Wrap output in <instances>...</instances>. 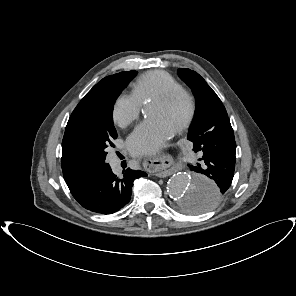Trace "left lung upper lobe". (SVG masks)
<instances>
[{
  "instance_id": "1",
  "label": "left lung upper lobe",
  "mask_w": 296,
  "mask_h": 296,
  "mask_svg": "<svg viewBox=\"0 0 296 296\" xmlns=\"http://www.w3.org/2000/svg\"><path fill=\"white\" fill-rule=\"evenodd\" d=\"M178 74L193 89L197 99L195 116L189 129L188 140L193 142L195 152H202L205 146L204 134L229 118L219 97L198 73L190 69L179 68ZM192 205L193 201H190L183 209L194 212L195 208Z\"/></svg>"
}]
</instances>
